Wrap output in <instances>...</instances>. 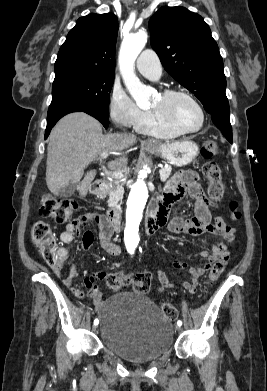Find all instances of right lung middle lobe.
<instances>
[{
	"label": "right lung middle lobe",
	"instance_id": "1",
	"mask_svg": "<svg viewBox=\"0 0 267 391\" xmlns=\"http://www.w3.org/2000/svg\"><path fill=\"white\" fill-rule=\"evenodd\" d=\"M115 74L70 72L55 76L48 114L70 105L93 108L109 115Z\"/></svg>",
	"mask_w": 267,
	"mask_h": 391
}]
</instances>
